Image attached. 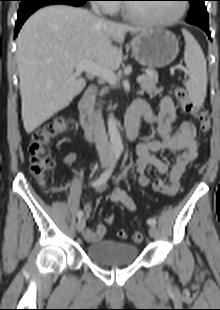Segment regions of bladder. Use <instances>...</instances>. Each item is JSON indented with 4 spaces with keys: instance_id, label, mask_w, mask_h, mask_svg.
<instances>
[{
    "instance_id": "bladder-1",
    "label": "bladder",
    "mask_w": 220,
    "mask_h": 310,
    "mask_svg": "<svg viewBox=\"0 0 220 310\" xmlns=\"http://www.w3.org/2000/svg\"><path fill=\"white\" fill-rule=\"evenodd\" d=\"M87 257L98 264L106 266H122L132 264L138 256V248L134 245L103 239L86 248Z\"/></svg>"
}]
</instances>
